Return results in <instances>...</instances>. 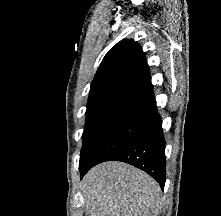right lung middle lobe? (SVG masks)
I'll list each match as a JSON object with an SVG mask.
<instances>
[{
	"label": "right lung middle lobe",
	"mask_w": 221,
	"mask_h": 216,
	"mask_svg": "<svg viewBox=\"0 0 221 216\" xmlns=\"http://www.w3.org/2000/svg\"><path fill=\"white\" fill-rule=\"evenodd\" d=\"M150 115L117 114L85 123L80 166L105 161L136 139L147 127Z\"/></svg>",
	"instance_id": "1"
}]
</instances>
